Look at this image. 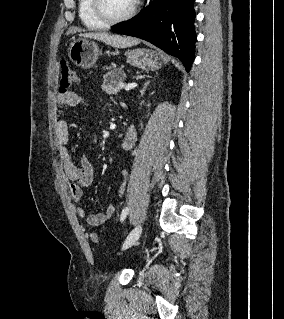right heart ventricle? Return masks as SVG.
<instances>
[{
	"instance_id": "1",
	"label": "right heart ventricle",
	"mask_w": 284,
	"mask_h": 319,
	"mask_svg": "<svg viewBox=\"0 0 284 319\" xmlns=\"http://www.w3.org/2000/svg\"><path fill=\"white\" fill-rule=\"evenodd\" d=\"M78 15L83 25L88 29L98 30L106 27V24L94 14L92 0H78Z\"/></svg>"
}]
</instances>
